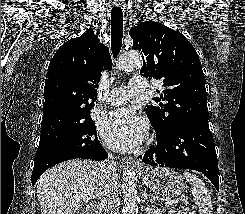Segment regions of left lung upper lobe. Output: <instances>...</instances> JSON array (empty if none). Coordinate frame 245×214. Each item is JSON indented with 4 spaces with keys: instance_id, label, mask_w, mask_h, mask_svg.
Listing matches in <instances>:
<instances>
[{
    "instance_id": "1",
    "label": "left lung upper lobe",
    "mask_w": 245,
    "mask_h": 214,
    "mask_svg": "<svg viewBox=\"0 0 245 214\" xmlns=\"http://www.w3.org/2000/svg\"><path fill=\"white\" fill-rule=\"evenodd\" d=\"M132 48L143 56L140 73L162 80L164 90L158 91L154 105L146 108L156 135H170L193 119L208 120L205 77L201 62L192 44L178 31L165 25L146 21L133 27Z\"/></svg>"
}]
</instances>
